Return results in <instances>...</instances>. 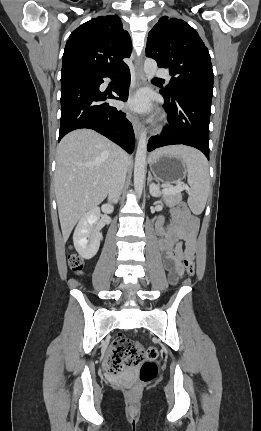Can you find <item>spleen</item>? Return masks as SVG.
<instances>
[{
	"mask_svg": "<svg viewBox=\"0 0 261 431\" xmlns=\"http://www.w3.org/2000/svg\"><path fill=\"white\" fill-rule=\"evenodd\" d=\"M164 154L180 158L186 166L188 173L187 181L190 186L188 205L193 213H202L206 205L210 188L208 163L206 158L196 149L186 146H170L161 148L152 153L150 161L153 157H158Z\"/></svg>",
	"mask_w": 261,
	"mask_h": 431,
	"instance_id": "obj_1",
	"label": "spleen"
}]
</instances>
